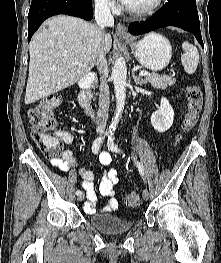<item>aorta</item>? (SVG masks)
Instances as JSON below:
<instances>
[{"label":"aorta","mask_w":221,"mask_h":263,"mask_svg":"<svg viewBox=\"0 0 221 263\" xmlns=\"http://www.w3.org/2000/svg\"><path fill=\"white\" fill-rule=\"evenodd\" d=\"M111 78L114 83V91L116 97V111L115 115L112 118L111 124L109 126V133L112 134L115 131L119 118L121 116L122 111L124 110L125 99H126V85H127V67L126 63L123 59L119 58L115 61Z\"/></svg>","instance_id":"obj_1"}]
</instances>
